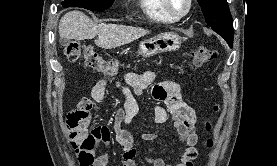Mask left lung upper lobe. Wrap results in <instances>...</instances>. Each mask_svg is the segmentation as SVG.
<instances>
[{"label": "left lung upper lobe", "instance_id": "left-lung-upper-lobe-1", "mask_svg": "<svg viewBox=\"0 0 277 166\" xmlns=\"http://www.w3.org/2000/svg\"><path fill=\"white\" fill-rule=\"evenodd\" d=\"M201 6L206 22L221 35L227 43L233 45V22L226 0H197Z\"/></svg>", "mask_w": 277, "mask_h": 166}]
</instances>
